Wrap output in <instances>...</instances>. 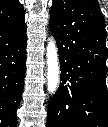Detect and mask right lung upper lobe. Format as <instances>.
Wrapping results in <instances>:
<instances>
[{"label": "right lung upper lobe", "mask_w": 108, "mask_h": 127, "mask_svg": "<svg viewBox=\"0 0 108 127\" xmlns=\"http://www.w3.org/2000/svg\"><path fill=\"white\" fill-rule=\"evenodd\" d=\"M25 20V11L18 0H0V27L16 25Z\"/></svg>", "instance_id": "obj_1"}]
</instances>
